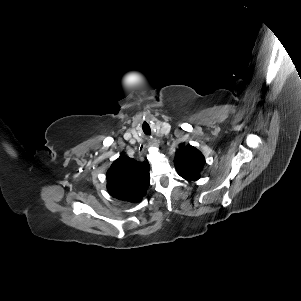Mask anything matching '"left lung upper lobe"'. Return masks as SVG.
Returning a JSON list of instances; mask_svg holds the SVG:
<instances>
[{"label": "left lung upper lobe", "mask_w": 301, "mask_h": 301, "mask_svg": "<svg viewBox=\"0 0 301 301\" xmlns=\"http://www.w3.org/2000/svg\"><path fill=\"white\" fill-rule=\"evenodd\" d=\"M205 164L203 154L191 145L175 153L174 165L178 174L187 181H197Z\"/></svg>", "instance_id": "5c2ea615"}]
</instances>
